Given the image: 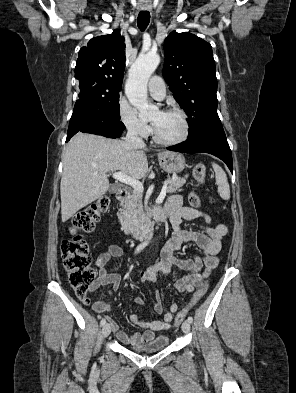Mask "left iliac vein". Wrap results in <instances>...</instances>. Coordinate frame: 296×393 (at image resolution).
Returning <instances> with one entry per match:
<instances>
[{
    "label": "left iliac vein",
    "instance_id": "1",
    "mask_svg": "<svg viewBox=\"0 0 296 393\" xmlns=\"http://www.w3.org/2000/svg\"><path fill=\"white\" fill-rule=\"evenodd\" d=\"M182 331L188 333L190 331V323L186 320L182 324Z\"/></svg>",
    "mask_w": 296,
    "mask_h": 393
}]
</instances>
